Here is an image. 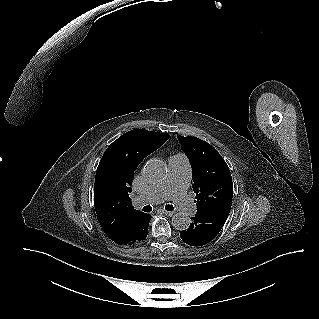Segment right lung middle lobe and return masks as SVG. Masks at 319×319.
<instances>
[{"label":"right lung middle lobe","mask_w":319,"mask_h":319,"mask_svg":"<svg viewBox=\"0 0 319 319\" xmlns=\"http://www.w3.org/2000/svg\"><path fill=\"white\" fill-rule=\"evenodd\" d=\"M108 182H109V180H107L105 174H103V173L97 174L96 173L94 191L95 190H103V189L107 188Z\"/></svg>","instance_id":"obj_1"}]
</instances>
